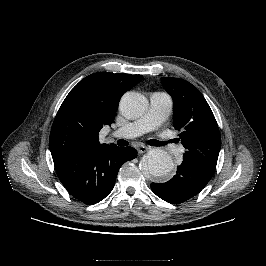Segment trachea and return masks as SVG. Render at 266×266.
Masks as SVG:
<instances>
[{"instance_id":"3493384b","label":"trachea","mask_w":266,"mask_h":266,"mask_svg":"<svg viewBox=\"0 0 266 266\" xmlns=\"http://www.w3.org/2000/svg\"><path fill=\"white\" fill-rule=\"evenodd\" d=\"M165 144H166L165 142H161V141H158V140H153V146H163ZM118 145L125 146V144L122 143V142H119Z\"/></svg>"}]
</instances>
